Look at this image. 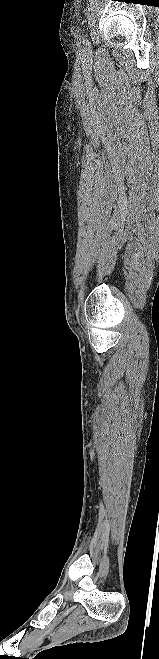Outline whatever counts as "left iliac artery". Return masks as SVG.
<instances>
[{"instance_id": "1", "label": "left iliac artery", "mask_w": 159, "mask_h": 659, "mask_svg": "<svg viewBox=\"0 0 159 659\" xmlns=\"http://www.w3.org/2000/svg\"><path fill=\"white\" fill-rule=\"evenodd\" d=\"M84 43H85L86 45H89V41H88L87 39H84Z\"/></svg>"}]
</instances>
